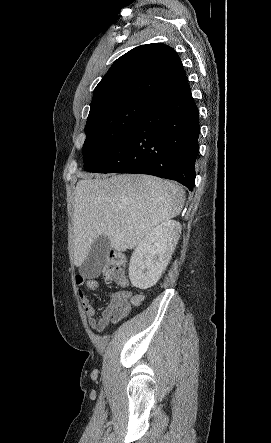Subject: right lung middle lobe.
<instances>
[{
    "label": "right lung middle lobe",
    "instance_id": "1",
    "mask_svg": "<svg viewBox=\"0 0 271 443\" xmlns=\"http://www.w3.org/2000/svg\"><path fill=\"white\" fill-rule=\"evenodd\" d=\"M151 104L144 99H122L95 107L85 127L84 169L94 172L102 166Z\"/></svg>",
    "mask_w": 271,
    "mask_h": 443
}]
</instances>
